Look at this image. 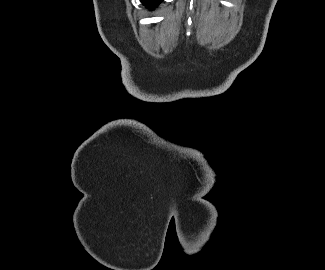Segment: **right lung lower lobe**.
Instances as JSON below:
<instances>
[{"instance_id":"1","label":"right lung lower lobe","mask_w":325,"mask_h":270,"mask_svg":"<svg viewBox=\"0 0 325 270\" xmlns=\"http://www.w3.org/2000/svg\"><path fill=\"white\" fill-rule=\"evenodd\" d=\"M163 0H141V2L147 7L158 5Z\"/></svg>"}]
</instances>
